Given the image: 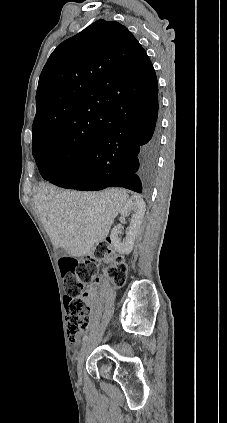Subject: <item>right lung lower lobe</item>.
Segmentation results:
<instances>
[{
    "mask_svg": "<svg viewBox=\"0 0 227 423\" xmlns=\"http://www.w3.org/2000/svg\"><path fill=\"white\" fill-rule=\"evenodd\" d=\"M158 109V88L148 98L111 106L108 114L121 122V127L104 129L91 152L67 171L56 173V169L42 165L40 174L57 186L81 191L107 187L148 191L155 178L160 146Z\"/></svg>",
    "mask_w": 227,
    "mask_h": 423,
    "instance_id": "98d812e1",
    "label": "right lung lower lobe"
}]
</instances>
